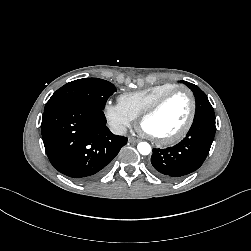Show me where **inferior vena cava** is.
<instances>
[{"mask_svg":"<svg viewBox=\"0 0 251 251\" xmlns=\"http://www.w3.org/2000/svg\"><path fill=\"white\" fill-rule=\"evenodd\" d=\"M110 130L115 135H125L127 133V129L123 125H112Z\"/></svg>","mask_w":251,"mask_h":251,"instance_id":"obj_1","label":"inferior vena cava"}]
</instances>
